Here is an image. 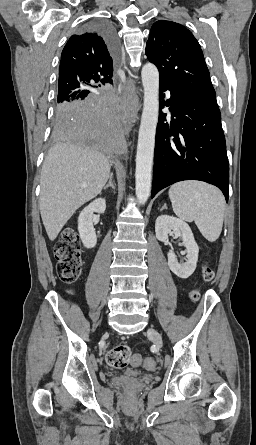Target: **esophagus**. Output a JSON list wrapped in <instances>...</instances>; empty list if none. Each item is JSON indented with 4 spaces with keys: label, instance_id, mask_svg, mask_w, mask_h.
<instances>
[{
    "label": "esophagus",
    "instance_id": "esophagus-1",
    "mask_svg": "<svg viewBox=\"0 0 256 445\" xmlns=\"http://www.w3.org/2000/svg\"><path fill=\"white\" fill-rule=\"evenodd\" d=\"M127 105H128V119L127 131H131L135 121L137 120L138 111L140 109L139 98L136 93L135 82L132 78L127 82Z\"/></svg>",
    "mask_w": 256,
    "mask_h": 445
}]
</instances>
